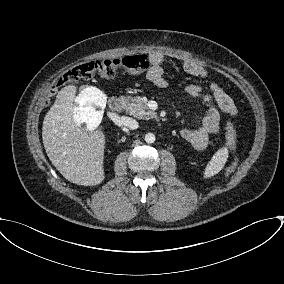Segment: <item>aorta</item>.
Wrapping results in <instances>:
<instances>
[{
    "instance_id": "1",
    "label": "aorta",
    "mask_w": 284,
    "mask_h": 284,
    "mask_svg": "<svg viewBox=\"0 0 284 284\" xmlns=\"http://www.w3.org/2000/svg\"><path fill=\"white\" fill-rule=\"evenodd\" d=\"M155 140H156V137H155V135H154L153 133H147V134L145 135V141H146V143L151 144V143H154Z\"/></svg>"
}]
</instances>
